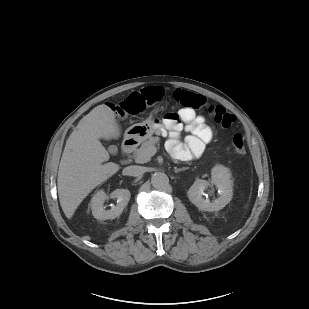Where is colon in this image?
<instances>
[{"label": "colon", "instance_id": "colon-1", "mask_svg": "<svg viewBox=\"0 0 309 309\" xmlns=\"http://www.w3.org/2000/svg\"><path fill=\"white\" fill-rule=\"evenodd\" d=\"M162 96V89L157 87L149 88L143 93L132 94L122 102L111 103L109 107L119 117L136 116L141 114L147 105L160 100ZM173 96L175 101L185 108L206 111L223 128H230L235 121L234 115L224 107L209 103L200 94L185 89H176ZM232 148L238 155L245 154L246 142L242 134L237 133L232 137Z\"/></svg>", "mask_w": 309, "mask_h": 309}]
</instances>
